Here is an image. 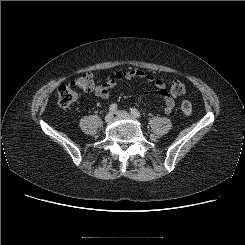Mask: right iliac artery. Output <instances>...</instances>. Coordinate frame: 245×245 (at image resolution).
I'll list each match as a JSON object with an SVG mask.
<instances>
[{"mask_svg": "<svg viewBox=\"0 0 245 245\" xmlns=\"http://www.w3.org/2000/svg\"><path fill=\"white\" fill-rule=\"evenodd\" d=\"M116 109H117V105L116 104H111L110 107H109V111H111V112L116 111Z\"/></svg>", "mask_w": 245, "mask_h": 245, "instance_id": "82829eb1", "label": "right iliac artery"}]
</instances>
